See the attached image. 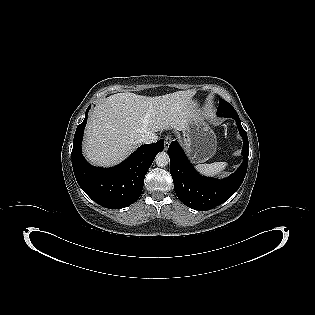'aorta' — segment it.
<instances>
[{"label":"aorta","instance_id":"aorta-1","mask_svg":"<svg viewBox=\"0 0 315 315\" xmlns=\"http://www.w3.org/2000/svg\"><path fill=\"white\" fill-rule=\"evenodd\" d=\"M169 161H170L169 155L164 151L159 152L155 157V162H156L157 166H159V167L167 166Z\"/></svg>","mask_w":315,"mask_h":315}]
</instances>
